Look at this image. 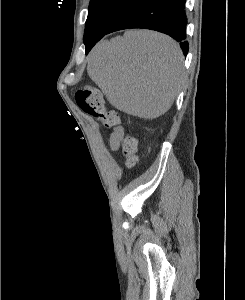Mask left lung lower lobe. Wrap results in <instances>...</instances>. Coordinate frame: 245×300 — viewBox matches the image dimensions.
Segmentation results:
<instances>
[{"label":"left lung lower lobe","mask_w":245,"mask_h":300,"mask_svg":"<svg viewBox=\"0 0 245 300\" xmlns=\"http://www.w3.org/2000/svg\"><path fill=\"white\" fill-rule=\"evenodd\" d=\"M185 0H138L124 11L105 33L92 32L86 41V54L106 34L132 28L150 29L165 33L176 41L184 55L188 53L184 11Z\"/></svg>","instance_id":"obj_1"}]
</instances>
